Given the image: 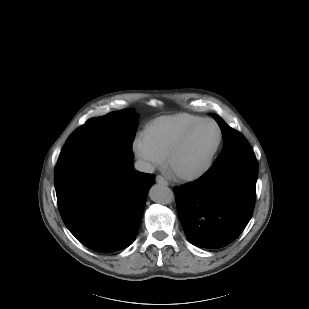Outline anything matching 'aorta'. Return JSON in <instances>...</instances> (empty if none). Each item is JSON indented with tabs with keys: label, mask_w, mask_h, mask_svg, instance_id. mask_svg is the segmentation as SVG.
I'll return each mask as SVG.
<instances>
[{
	"label": "aorta",
	"mask_w": 309,
	"mask_h": 309,
	"mask_svg": "<svg viewBox=\"0 0 309 309\" xmlns=\"http://www.w3.org/2000/svg\"><path fill=\"white\" fill-rule=\"evenodd\" d=\"M149 196L159 204H170L174 201V193L165 184H155L150 188Z\"/></svg>",
	"instance_id": "762f6f07"
}]
</instances>
